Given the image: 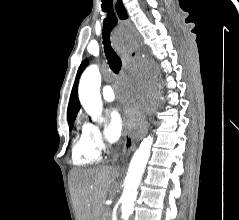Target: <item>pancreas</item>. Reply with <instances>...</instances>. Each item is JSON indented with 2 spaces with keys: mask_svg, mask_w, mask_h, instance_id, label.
<instances>
[{
  "mask_svg": "<svg viewBox=\"0 0 239 220\" xmlns=\"http://www.w3.org/2000/svg\"><path fill=\"white\" fill-rule=\"evenodd\" d=\"M103 217H104L103 220H108V217H109V216H108V213H107V212H104V213H103Z\"/></svg>",
  "mask_w": 239,
  "mask_h": 220,
  "instance_id": "1",
  "label": "pancreas"
}]
</instances>
